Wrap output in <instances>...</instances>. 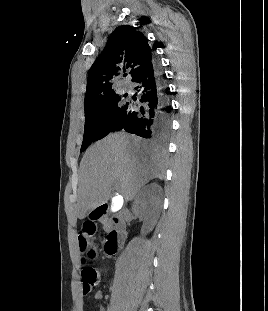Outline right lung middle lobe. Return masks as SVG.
Segmentation results:
<instances>
[{
	"label": "right lung middle lobe",
	"mask_w": 268,
	"mask_h": 311,
	"mask_svg": "<svg viewBox=\"0 0 268 311\" xmlns=\"http://www.w3.org/2000/svg\"><path fill=\"white\" fill-rule=\"evenodd\" d=\"M125 104L122 97L114 93L85 111L84 137L81 152L92 142L105 137L111 132Z\"/></svg>",
	"instance_id": "obj_1"
}]
</instances>
